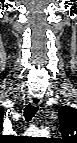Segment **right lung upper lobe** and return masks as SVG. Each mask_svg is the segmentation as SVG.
Instances as JSON below:
<instances>
[{"mask_svg":"<svg viewBox=\"0 0 77 143\" xmlns=\"http://www.w3.org/2000/svg\"><path fill=\"white\" fill-rule=\"evenodd\" d=\"M2 111V115H3V110H1ZM0 119L2 120L3 118L2 117H0Z\"/></svg>","mask_w":77,"mask_h":143,"instance_id":"1","label":"right lung upper lobe"}]
</instances>
